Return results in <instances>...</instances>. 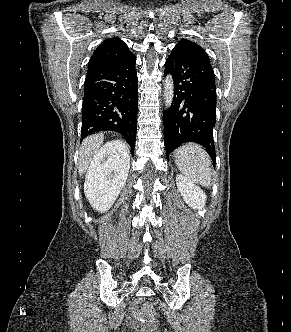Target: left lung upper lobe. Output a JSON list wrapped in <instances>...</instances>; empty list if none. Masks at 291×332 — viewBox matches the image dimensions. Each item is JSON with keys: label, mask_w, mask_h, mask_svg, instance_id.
<instances>
[{"label": "left lung upper lobe", "mask_w": 291, "mask_h": 332, "mask_svg": "<svg viewBox=\"0 0 291 332\" xmlns=\"http://www.w3.org/2000/svg\"><path fill=\"white\" fill-rule=\"evenodd\" d=\"M175 47L197 48V49L203 50V48L201 46H199L195 42L187 40V39H182L181 41H179V43Z\"/></svg>", "instance_id": "5c2ea615"}]
</instances>
